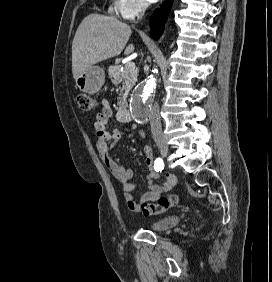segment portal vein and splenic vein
Returning a JSON list of instances; mask_svg holds the SVG:
<instances>
[{
  "instance_id": "18ae733b",
  "label": "portal vein and splenic vein",
  "mask_w": 272,
  "mask_h": 282,
  "mask_svg": "<svg viewBox=\"0 0 272 282\" xmlns=\"http://www.w3.org/2000/svg\"><path fill=\"white\" fill-rule=\"evenodd\" d=\"M125 69H126V70H135V63H134V62H128V63L125 65Z\"/></svg>"
}]
</instances>
